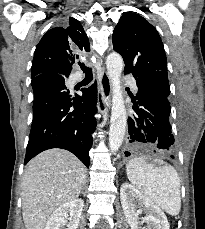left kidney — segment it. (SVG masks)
<instances>
[{
    "label": "left kidney",
    "mask_w": 205,
    "mask_h": 229,
    "mask_svg": "<svg viewBox=\"0 0 205 229\" xmlns=\"http://www.w3.org/2000/svg\"><path fill=\"white\" fill-rule=\"evenodd\" d=\"M124 215L131 229H170L167 217L161 208L140 190L125 182L120 189ZM145 217H140L141 213ZM143 223H147L144 227Z\"/></svg>",
    "instance_id": "5707ae66"
}]
</instances>
